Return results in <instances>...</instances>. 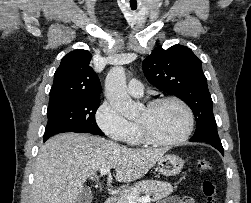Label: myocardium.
I'll return each mask as SVG.
<instances>
[{"label":"myocardium","mask_w":251,"mask_h":203,"mask_svg":"<svg viewBox=\"0 0 251 203\" xmlns=\"http://www.w3.org/2000/svg\"><path fill=\"white\" fill-rule=\"evenodd\" d=\"M169 102H173V103L178 104L185 111V113L187 115L186 130L184 131V133L180 137H178L176 139L162 140V139H158L155 136H153L151 134V132L149 131L148 127L144 123L137 122V126L139 128L141 138L147 144L154 145V146H176V145L182 144L183 142L188 140V138L191 136L193 129H194V125H195L194 113H193V110L191 109V107L181 98L176 97V96H167V97L157 98V99L150 101L146 105L145 108L147 110H153V109L157 108L158 106L165 104V103H169Z\"/></svg>","instance_id":"obj_1"}]
</instances>
